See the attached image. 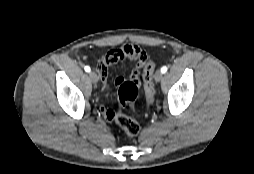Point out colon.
<instances>
[{
  "label": "colon",
  "instance_id": "colon-1",
  "mask_svg": "<svg viewBox=\"0 0 254 174\" xmlns=\"http://www.w3.org/2000/svg\"><path fill=\"white\" fill-rule=\"evenodd\" d=\"M156 70V64L153 61L146 62L143 72L145 97L150 104L154 97L153 73ZM138 96V84L132 81L124 82L119 86L118 105L119 110L114 113L113 120L115 121L119 131L127 137H136L140 132L139 124L125 115L122 109L130 104L133 105Z\"/></svg>",
  "mask_w": 254,
  "mask_h": 174
}]
</instances>
